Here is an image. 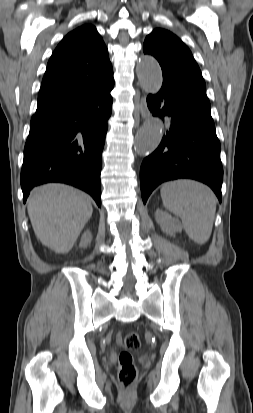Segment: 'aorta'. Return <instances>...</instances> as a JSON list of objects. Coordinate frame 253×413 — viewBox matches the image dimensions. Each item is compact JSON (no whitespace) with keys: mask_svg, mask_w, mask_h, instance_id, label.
Instances as JSON below:
<instances>
[{"mask_svg":"<svg viewBox=\"0 0 253 413\" xmlns=\"http://www.w3.org/2000/svg\"><path fill=\"white\" fill-rule=\"evenodd\" d=\"M137 77L141 87L151 94H156L163 82L158 62L151 56H142L137 66ZM162 139V122L157 117L146 120L137 132L135 149L141 156L153 152Z\"/></svg>","mask_w":253,"mask_h":413,"instance_id":"762f6f07","label":"aorta"}]
</instances>
